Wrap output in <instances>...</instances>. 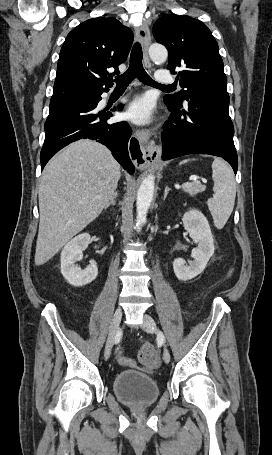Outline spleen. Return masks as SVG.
<instances>
[{"mask_svg":"<svg viewBox=\"0 0 272 455\" xmlns=\"http://www.w3.org/2000/svg\"><path fill=\"white\" fill-rule=\"evenodd\" d=\"M187 161L184 160L180 164ZM212 170L214 195L208 199L207 205L216 228L222 229L234 208L236 184L231 169L222 159L216 158L213 161Z\"/></svg>","mask_w":272,"mask_h":455,"instance_id":"spleen-1","label":"spleen"}]
</instances>
